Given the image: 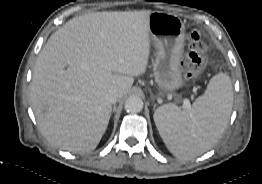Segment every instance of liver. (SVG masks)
I'll list each match as a JSON object with an SVG mask.
<instances>
[{
	"instance_id": "liver-1",
	"label": "liver",
	"mask_w": 262,
	"mask_h": 184,
	"mask_svg": "<svg viewBox=\"0 0 262 184\" xmlns=\"http://www.w3.org/2000/svg\"><path fill=\"white\" fill-rule=\"evenodd\" d=\"M151 13H89L51 35L31 82L32 108L49 142L73 153L97 147L112 113L107 92L114 89L121 99L146 71Z\"/></svg>"
}]
</instances>
